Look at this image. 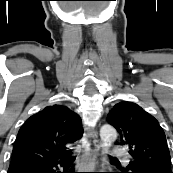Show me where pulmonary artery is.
Listing matches in <instances>:
<instances>
[{"instance_id":"1","label":"pulmonary artery","mask_w":173,"mask_h":173,"mask_svg":"<svg viewBox=\"0 0 173 173\" xmlns=\"http://www.w3.org/2000/svg\"><path fill=\"white\" fill-rule=\"evenodd\" d=\"M111 153L115 157H125L126 156L125 150L123 148H121V147H118V146L113 147L111 149Z\"/></svg>"}]
</instances>
